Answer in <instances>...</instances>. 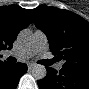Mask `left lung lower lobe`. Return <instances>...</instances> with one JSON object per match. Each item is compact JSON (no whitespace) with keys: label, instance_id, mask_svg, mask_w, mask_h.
Here are the masks:
<instances>
[{"label":"left lung lower lobe","instance_id":"obj_1","mask_svg":"<svg viewBox=\"0 0 89 89\" xmlns=\"http://www.w3.org/2000/svg\"><path fill=\"white\" fill-rule=\"evenodd\" d=\"M47 75L38 81L41 89H89V73L47 67Z\"/></svg>","mask_w":89,"mask_h":89}]
</instances>
